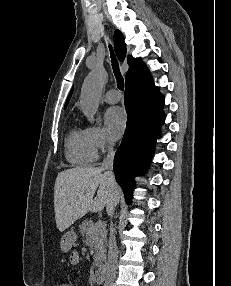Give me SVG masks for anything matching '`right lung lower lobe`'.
I'll return each mask as SVG.
<instances>
[{
    "label": "right lung lower lobe",
    "instance_id": "obj_1",
    "mask_svg": "<svg viewBox=\"0 0 231 286\" xmlns=\"http://www.w3.org/2000/svg\"><path fill=\"white\" fill-rule=\"evenodd\" d=\"M125 89L128 122L122 143L115 153L114 172L125 200L130 204L134 177L147 167L164 121V98L154 86L149 71L127 81Z\"/></svg>",
    "mask_w": 231,
    "mask_h": 286
}]
</instances>
